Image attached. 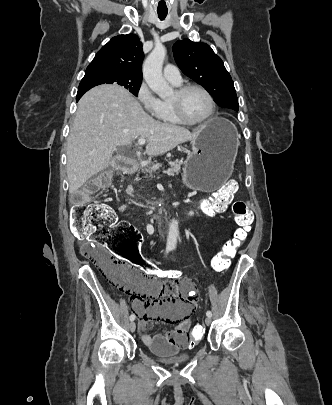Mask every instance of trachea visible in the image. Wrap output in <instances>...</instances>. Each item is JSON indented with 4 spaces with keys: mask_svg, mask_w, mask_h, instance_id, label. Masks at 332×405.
I'll use <instances>...</instances> for the list:
<instances>
[{
    "mask_svg": "<svg viewBox=\"0 0 332 405\" xmlns=\"http://www.w3.org/2000/svg\"><path fill=\"white\" fill-rule=\"evenodd\" d=\"M157 13H158L159 19H160V20H164V19L166 18V16H167L168 11H167V10H166V11H160V10H158Z\"/></svg>",
    "mask_w": 332,
    "mask_h": 405,
    "instance_id": "1",
    "label": "trachea"
}]
</instances>
